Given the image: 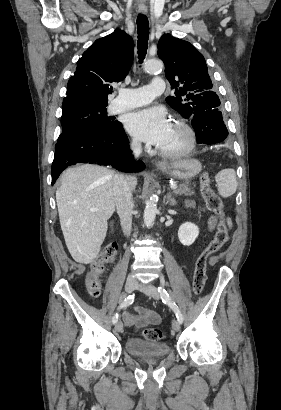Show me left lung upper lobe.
Returning a JSON list of instances; mask_svg holds the SVG:
<instances>
[{
  "instance_id": "5c2ea615",
  "label": "left lung upper lobe",
  "mask_w": 281,
  "mask_h": 410,
  "mask_svg": "<svg viewBox=\"0 0 281 410\" xmlns=\"http://www.w3.org/2000/svg\"><path fill=\"white\" fill-rule=\"evenodd\" d=\"M158 56L175 89V97L169 96L166 101L182 117L191 119L197 112L220 106L218 95L211 90L205 59L191 43L164 34L158 42Z\"/></svg>"
}]
</instances>
